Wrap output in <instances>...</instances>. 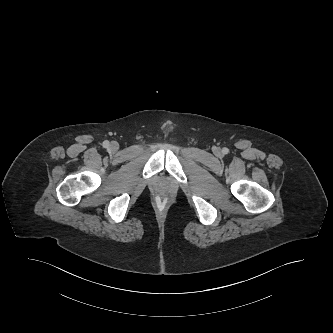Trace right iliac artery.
Instances as JSON below:
<instances>
[{"instance_id":"obj_1","label":"right iliac artery","mask_w":333,"mask_h":333,"mask_svg":"<svg viewBox=\"0 0 333 333\" xmlns=\"http://www.w3.org/2000/svg\"><path fill=\"white\" fill-rule=\"evenodd\" d=\"M103 147H104V148H108V147H109V141H107V140L104 141V142H103Z\"/></svg>"}]
</instances>
